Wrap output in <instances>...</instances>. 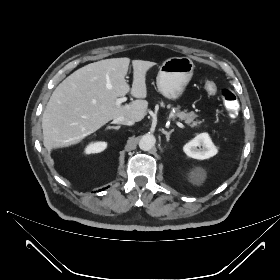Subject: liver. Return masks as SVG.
Returning <instances> with one entry per match:
<instances>
[{
    "label": "liver",
    "instance_id": "liver-1",
    "mask_svg": "<svg viewBox=\"0 0 280 280\" xmlns=\"http://www.w3.org/2000/svg\"><path fill=\"white\" fill-rule=\"evenodd\" d=\"M129 63L126 57L94 62L76 70L56 87L42 118L44 146L48 151L77 144L117 117L135 122L145 117L146 73L155 63L132 61L131 89L125 79ZM129 91L138 99L116 105V99Z\"/></svg>",
    "mask_w": 280,
    "mask_h": 280
}]
</instances>
